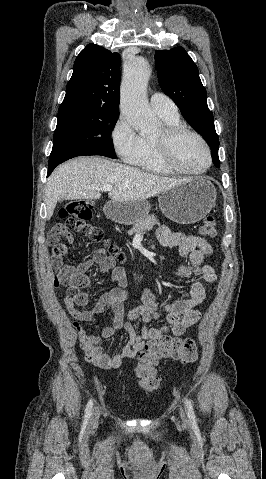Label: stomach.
<instances>
[{
  "mask_svg": "<svg viewBox=\"0 0 266 479\" xmlns=\"http://www.w3.org/2000/svg\"><path fill=\"white\" fill-rule=\"evenodd\" d=\"M216 190L206 178H191L159 196V207L170 220L179 224H191L204 218L214 207ZM150 204L145 201H110L104 207L108 218L122 224H132L145 218Z\"/></svg>",
  "mask_w": 266,
  "mask_h": 479,
  "instance_id": "stomach-1",
  "label": "stomach"
}]
</instances>
